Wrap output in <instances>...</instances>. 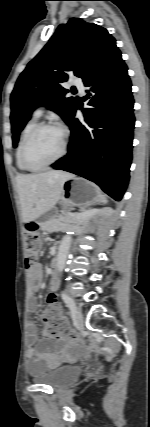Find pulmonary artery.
I'll list each match as a JSON object with an SVG mask.
<instances>
[{"mask_svg":"<svg viewBox=\"0 0 150 427\" xmlns=\"http://www.w3.org/2000/svg\"><path fill=\"white\" fill-rule=\"evenodd\" d=\"M73 85L79 90L80 93L84 91V85L81 80L75 79L73 81ZM43 112H44V106L41 105L36 108V110L34 111V114L40 117L43 114Z\"/></svg>","mask_w":150,"mask_h":427,"instance_id":"1","label":"pulmonary artery"}]
</instances>
